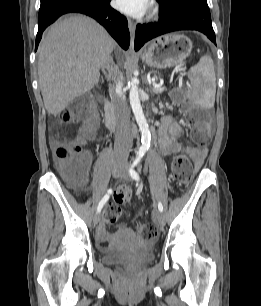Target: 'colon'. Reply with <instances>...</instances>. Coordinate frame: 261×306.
<instances>
[{"label": "colon", "instance_id": "obj_1", "mask_svg": "<svg viewBox=\"0 0 261 306\" xmlns=\"http://www.w3.org/2000/svg\"><path fill=\"white\" fill-rule=\"evenodd\" d=\"M173 97L182 102V91L175 90ZM188 122L192 126L191 138L199 145H206L210 140L209 119L200 110L187 106ZM61 121L67 125H81L80 135L74 139L58 143L55 156L63 177L76 186L83 185L87 180V165L84 156V142L90 139L95 130L96 115L89 96L76 99L61 116ZM172 175L180 185L188 184L194 175L191 160L186 155H178L172 161ZM130 188L121 186L114 194V202L104 211V223L109 226L115 223L122 214L121 205L129 200ZM139 236L145 240H152L157 236V228L151 223H139L136 227Z\"/></svg>", "mask_w": 261, "mask_h": 306}]
</instances>
